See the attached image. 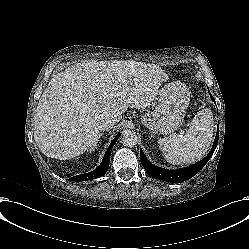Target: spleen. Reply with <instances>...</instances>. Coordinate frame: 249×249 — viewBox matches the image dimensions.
<instances>
[{
  "label": "spleen",
  "instance_id": "3e777b00",
  "mask_svg": "<svg viewBox=\"0 0 249 249\" xmlns=\"http://www.w3.org/2000/svg\"><path fill=\"white\" fill-rule=\"evenodd\" d=\"M213 121L207 109L199 111L184 135L160 138L158 144L171 164H189L200 159L212 141Z\"/></svg>",
  "mask_w": 249,
  "mask_h": 249
}]
</instances>
